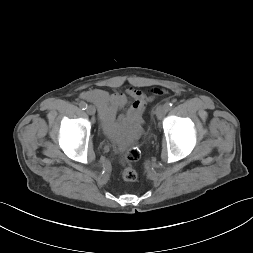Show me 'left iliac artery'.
Returning <instances> with one entry per match:
<instances>
[{
  "label": "left iliac artery",
  "mask_w": 253,
  "mask_h": 253,
  "mask_svg": "<svg viewBox=\"0 0 253 253\" xmlns=\"http://www.w3.org/2000/svg\"><path fill=\"white\" fill-rule=\"evenodd\" d=\"M166 106H167V109L169 110L173 106V103L172 102H168V103H166Z\"/></svg>",
  "instance_id": "left-iliac-artery-1"
}]
</instances>
